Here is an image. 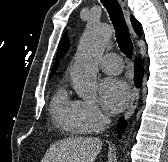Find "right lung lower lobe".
<instances>
[{
    "label": "right lung lower lobe",
    "mask_w": 168,
    "mask_h": 162,
    "mask_svg": "<svg viewBox=\"0 0 168 162\" xmlns=\"http://www.w3.org/2000/svg\"><path fill=\"white\" fill-rule=\"evenodd\" d=\"M134 74H135L134 79L136 81V85L138 86L141 84L143 77V65L140 59L136 60ZM125 125H126L125 121L121 119L117 127L119 137L121 136V133L124 131Z\"/></svg>",
    "instance_id": "1"
}]
</instances>
